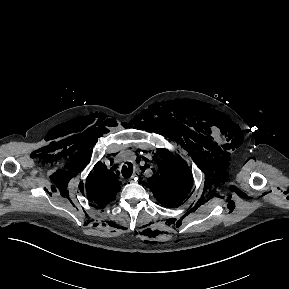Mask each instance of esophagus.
Returning a JSON list of instances; mask_svg holds the SVG:
<instances>
[{"label":"esophagus","instance_id":"34e87169","mask_svg":"<svg viewBox=\"0 0 289 289\" xmlns=\"http://www.w3.org/2000/svg\"><path fill=\"white\" fill-rule=\"evenodd\" d=\"M137 179H138V175L135 174L132 176V179L130 180V182L137 181Z\"/></svg>","mask_w":289,"mask_h":289}]
</instances>
